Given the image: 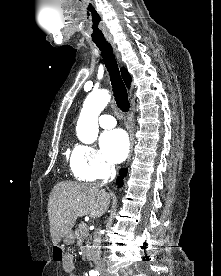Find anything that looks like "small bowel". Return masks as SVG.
I'll return each instance as SVG.
<instances>
[{
	"label": "small bowel",
	"mask_w": 221,
	"mask_h": 276,
	"mask_svg": "<svg viewBox=\"0 0 221 276\" xmlns=\"http://www.w3.org/2000/svg\"><path fill=\"white\" fill-rule=\"evenodd\" d=\"M63 270L68 274V276H78L75 273V264H74V258L72 255L67 254L65 256V259L62 262Z\"/></svg>",
	"instance_id": "small-bowel-1"
}]
</instances>
